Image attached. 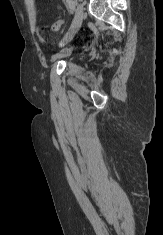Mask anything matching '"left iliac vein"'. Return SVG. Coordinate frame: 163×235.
Returning a JSON list of instances; mask_svg holds the SVG:
<instances>
[{"mask_svg": "<svg viewBox=\"0 0 163 235\" xmlns=\"http://www.w3.org/2000/svg\"><path fill=\"white\" fill-rule=\"evenodd\" d=\"M83 18H84L83 7L81 4H78L76 7L73 22L70 28L68 29V31L66 32V34L64 35L63 39L61 40V43H60L61 46L66 43H69L73 39V37L75 36V34L78 32V30L80 29L82 25ZM62 55H65V52L59 54L58 57Z\"/></svg>", "mask_w": 163, "mask_h": 235, "instance_id": "obj_1", "label": "left iliac vein"}]
</instances>
